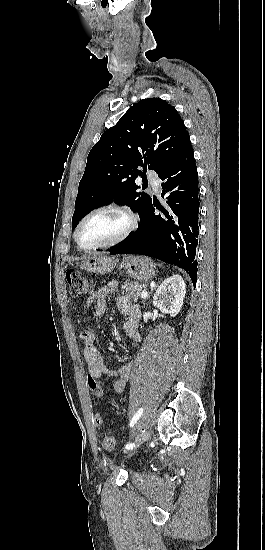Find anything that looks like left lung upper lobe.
<instances>
[{"label":"left lung upper lobe","mask_w":265,"mask_h":550,"mask_svg":"<svg viewBox=\"0 0 265 550\" xmlns=\"http://www.w3.org/2000/svg\"><path fill=\"white\" fill-rule=\"evenodd\" d=\"M189 142L184 122L164 100L147 98L131 106L88 155L72 229L91 210L112 201L131 206L141 221L152 199L137 192L135 179L142 174L137 167L148 165L159 176Z\"/></svg>","instance_id":"left-lung-upper-lobe-1"}]
</instances>
